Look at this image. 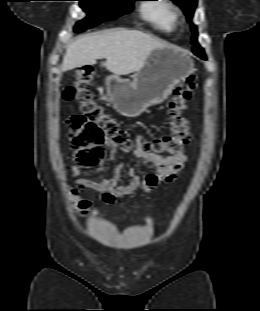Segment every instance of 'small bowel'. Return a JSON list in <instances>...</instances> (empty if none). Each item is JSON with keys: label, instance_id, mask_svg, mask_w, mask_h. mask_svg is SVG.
<instances>
[{"label": "small bowel", "instance_id": "obj_1", "mask_svg": "<svg viewBox=\"0 0 260 311\" xmlns=\"http://www.w3.org/2000/svg\"><path fill=\"white\" fill-rule=\"evenodd\" d=\"M143 136H137V146L134 156L143 160L155 168V173H147L143 177L139 176L136 169L131 167L127 171L130 180L127 184L121 183L122 164L116 162L112 175L102 180H94L90 174L77 179V187L69 188V194L79 207L78 215L85 217L93 213L96 205L91 200L80 199L81 190H90L100 194L106 204H113L122 198L133 199L138 193H149L154 191L160 183L172 182L182 170L187 160L185 154L176 156H161L153 152L145 151L141 148ZM104 145L109 149L110 155L115 158L118 153V145L111 141H105ZM71 174H79L81 169L77 166L69 168Z\"/></svg>", "mask_w": 260, "mask_h": 311}]
</instances>
